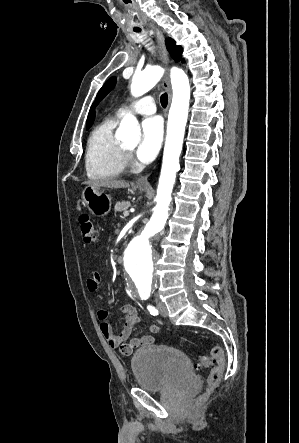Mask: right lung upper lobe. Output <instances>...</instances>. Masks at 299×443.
Returning a JSON list of instances; mask_svg holds the SVG:
<instances>
[{"instance_id":"cb5924a9","label":"right lung upper lobe","mask_w":299,"mask_h":443,"mask_svg":"<svg viewBox=\"0 0 299 443\" xmlns=\"http://www.w3.org/2000/svg\"><path fill=\"white\" fill-rule=\"evenodd\" d=\"M94 117H95V113H94L93 107H91L90 112L88 114L86 125H92V123L94 121Z\"/></svg>"}]
</instances>
